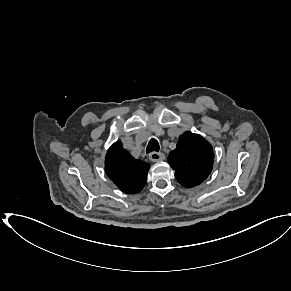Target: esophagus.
<instances>
[{
    "mask_svg": "<svg viewBox=\"0 0 291 291\" xmlns=\"http://www.w3.org/2000/svg\"><path fill=\"white\" fill-rule=\"evenodd\" d=\"M149 159L152 161V162H158V161H162L165 159V155L161 152H152L150 155H149Z\"/></svg>",
    "mask_w": 291,
    "mask_h": 291,
    "instance_id": "34e87169",
    "label": "esophagus"
}]
</instances>
